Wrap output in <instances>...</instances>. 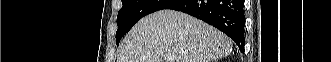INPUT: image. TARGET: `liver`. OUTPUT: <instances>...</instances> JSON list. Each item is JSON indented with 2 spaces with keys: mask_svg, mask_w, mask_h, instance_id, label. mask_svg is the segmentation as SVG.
Wrapping results in <instances>:
<instances>
[{
  "mask_svg": "<svg viewBox=\"0 0 331 62\" xmlns=\"http://www.w3.org/2000/svg\"><path fill=\"white\" fill-rule=\"evenodd\" d=\"M231 39L188 14L161 10L142 18L121 45L117 62H213L232 51ZM165 60V61H164Z\"/></svg>",
  "mask_w": 331,
  "mask_h": 62,
  "instance_id": "obj_1",
  "label": "liver"
}]
</instances>
